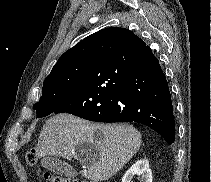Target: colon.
Returning <instances> with one entry per match:
<instances>
[{
    "mask_svg": "<svg viewBox=\"0 0 211 182\" xmlns=\"http://www.w3.org/2000/svg\"><path fill=\"white\" fill-rule=\"evenodd\" d=\"M26 163L29 166H34L37 163V155L34 150H30L26 153ZM44 178L46 182H88L85 180L69 179L51 173H46Z\"/></svg>",
    "mask_w": 211,
    "mask_h": 182,
    "instance_id": "obj_1",
    "label": "colon"
}]
</instances>
